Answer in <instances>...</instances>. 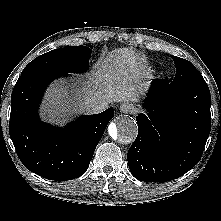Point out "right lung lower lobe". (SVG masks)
Returning <instances> with one entry per match:
<instances>
[{
	"instance_id": "right-lung-lower-lobe-1",
	"label": "right lung lower lobe",
	"mask_w": 221,
	"mask_h": 221,
	"mask_svg": "<svg viewBox=\"0 0 221 221\" xmlns=\"http://www.w3.org/2000/svg\"><path fill=\"white\" fill-rule=\"evenodd\" d=\"M65 75L47 70L21 73L11 96L9 134L18 157L31 172L55 181L77 178L88 169L114 115L113 108H109L79 117L64 128L41 122L37 110L45 88L53 79Z\"/></svg>"
}]
</instances>
